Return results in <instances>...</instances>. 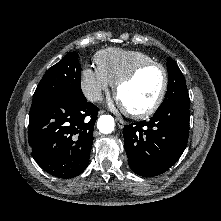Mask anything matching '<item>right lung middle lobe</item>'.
<instances>
[{"label": "right lung middle lobe", "mask_w": 221, "mask_h": 221, "mask_svg": "<svg viewBox=\"0 0 221 221\" xmlns=\"http://www.w3.org/2000/svg\"><path fill=\"white\" fill-rule=\"evenodd\" d=\"M80 82L81 66L78 54L69 52L44 74L33 95L30 113L47 101L59 96L84 97Z\"/></svg>", "instance_id": "dd1d6c3e"}]
</instances>
